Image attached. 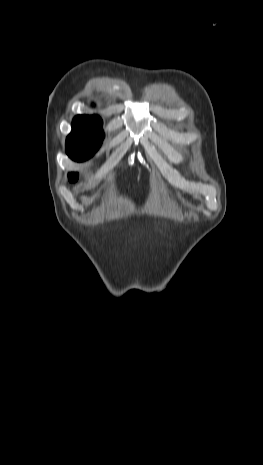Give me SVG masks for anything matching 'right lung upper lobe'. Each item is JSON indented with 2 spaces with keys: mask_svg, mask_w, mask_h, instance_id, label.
Returning a JSON list of instances; mask_svg holds the SVG:
<instances>
[{
  "mask_svg": "<svg viewBox=\"0 0 263 465\" xmlns=\"http://www.w3.org/2000/svg\"><path fill=\"white\" fill-rule=\"evenodd\" d=\"M75 120H84V121H90V122H95V123H102V120L100 117L94 115V116H88V115H78L74 118Z\"/></svg>",
  "mask_w": 263,
  "mask_h": 465,
  "instance_id": "right-lung-upper-lobe-1",
  "label": "right lung upper lobe"
}]
</instances>
